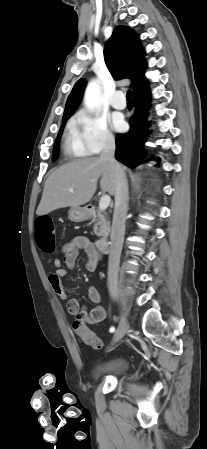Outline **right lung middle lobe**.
<instances>
[{
    "mask_svg": "<svg viewBox=\"0 0 207 449\" xmlns=\"http://www.w3.org/2000/svg\"><path fill=\"white\" fill-rule=\"evenodd\" d=\"M66 120L67 119H63V122H65ZM63 128H64V124L61 126V128L59 130V133L57 135V138L55 140V144H54V148H53V154H52V160L53 161H55L57 159V157H58V148H59L58 145H59V140H60Z\"/></svg>",
    "mask_w": 207,
    "mask_h": 449,
    "instance_id": "right-lung-middle-lobe-1",
    "label": "right lung middle lobe"
}]
</instances>
